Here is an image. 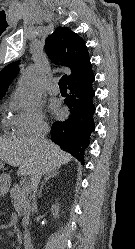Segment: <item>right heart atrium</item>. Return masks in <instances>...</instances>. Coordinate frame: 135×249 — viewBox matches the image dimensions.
Listing matches in <instances>:
<instances>
[{"label": "right heart atrium", "instance_id": "d8ad5b80", "mask_svg": "<svg viewBox=\"0 0 135 249\" xmlns=\"http://www.w3.org/2000/svg\"><path fill=\"white\" fill-rule=\"evenodd\" d=\"M11 107L15 114L11 119V126L20 136L43 134L47 131L48 125L45 116L39 106H25L16 98L11 100Z\"/></svg>", "mask_w": 135, "mask_h": 249}]
</instances>
